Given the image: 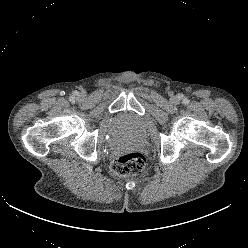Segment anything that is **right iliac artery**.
Returning a JSON list of instances; mask_svg holds the SVG:
<instances>
[{"label": "right iliac artery", "mask_w": 248, "mask_h": 248, "mask_svg": "<svg viewBox=\"0 0 248 248\" xmlns=\"http://www.w3.org/2000/svg\"><path fill=\"white\" fill-rule=\"evenodd\" d=\"M71 98V100H73L74 99V97L72 96V97H70Z\"/></svg>", "instance_id": "obj_1"}]
</instances>
